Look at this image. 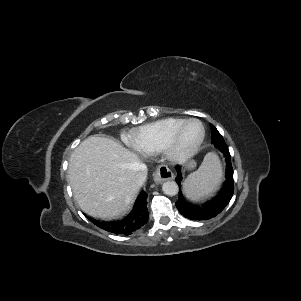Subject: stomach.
Here are the masks:
<instances>
[{
    "mask_svg": "<svg viewBox=\"0 0 301 301\" xmlns=\"http://www.w3.org/2000/svg\"><path fill=\"white\" fill-rule=\"evenodd\" d=\"M194 166H195V163L194 162H190L189 167L192 168Z\"/></svg>",
    "mask_w": 301,
    "mask_h": 301,
    "instance_id": "stomach-1",
    "label": "stomach"
}]
</instances>
